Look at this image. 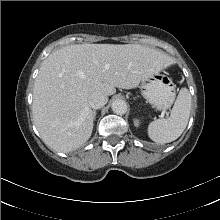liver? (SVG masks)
<instances>
[{"mask_svg":"<svg viewBox=\"0 0 220 220\" xmlns=\"http://www.w3.org/2000/svg\"><path fill=\"white\" fill-rule=\"evenodd\" d=\"M174 63L167 54L139 44H75L51 53L34 82V124L50 148L69 152L93 130L88 97L132 89Z\"/></svg>","mask_w":220,"mask_h":220,"instance_id":"liver-1","label":"liver"}]
</instances>
